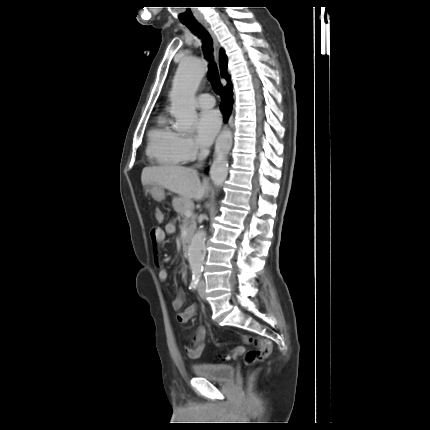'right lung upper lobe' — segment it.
Here are the masks:
<instances>
[{
  "instance_id": "1",
  "label": "right lung upper lobe",
  "mask_w": 430,
  "mask_h": 430,
  "mask_svg": "<svg viewBox=\"0 0 430 430\" xmlns=\"http://www.w3.org/2000/svg\"><path fill=\"white\" fill-rule=\"evenodd\" d=\"M220 71H221V76L228 81L227 85L231 84L229 82V76L227 74V57L225 56L224 51H221L220 53Z\"/></svg>"
}]
</instances>
